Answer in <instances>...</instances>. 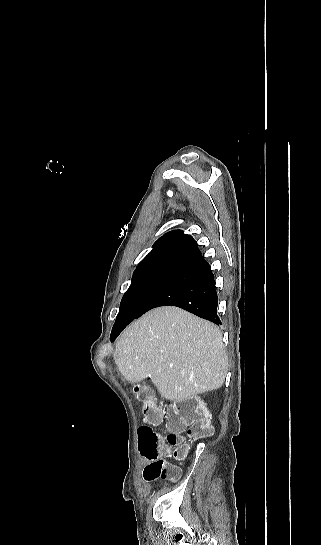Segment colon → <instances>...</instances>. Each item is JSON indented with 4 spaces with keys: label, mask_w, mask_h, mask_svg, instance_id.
I'll list each match as a JSON object with an SVG mask.
<instances>
[{
    "label": "colon",
    "mask_w": 321,
    "mask_h": 545,
    "mask_svg": "<svg viewBox=\"0 0 321 545\" xmlns=\"http://www.w3.org/2000/svg\"><path fill=\"white\" fill-rule=\"evenodd\" d=\"M134 392L137 399L142 403L144 424L138 429L140 451L143 456L150 460H157L159 454L160 436L155 432L154 426L161 423L163 416L169 418L170 433L167 441L173 447V457L184 458L188 451L186 440L181 432L188 427L187 437L193 440L210 436L213 427L209 415L197 403L182 401L163 412L156 404L154 393L144 386H136ZM178 472L175 467L166 462H158L152 479L162 478L164 480L177 479Z\"/></svg>",
    "instance_id": "1"
}]
</instances>
